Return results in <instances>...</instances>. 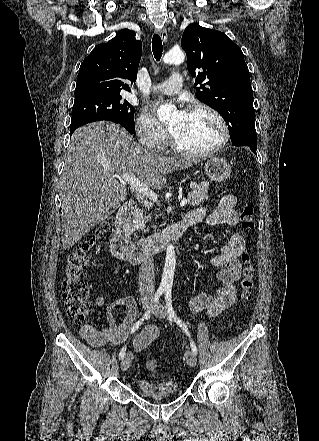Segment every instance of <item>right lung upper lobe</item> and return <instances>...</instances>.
<instances>
[{
  "label": "right lung upper lobe",
  "instance_id": "cb5924a9",
  "mask_svg": "<svg viewBox=\"0 0 319 441\" xmlns=\"http://www.w3.org/2000/svg\"><path fill=\"white\" fill-rule=\"evenodd\" d=\"M142 43L135 32L123 29L107 43L97 45L82 62L77 76L75 100L94 96H120L130 91L124 80L136 81Z\"/></svg>",
  "mask_w": 319,
  "mask_h": 441
}]
</instances>
